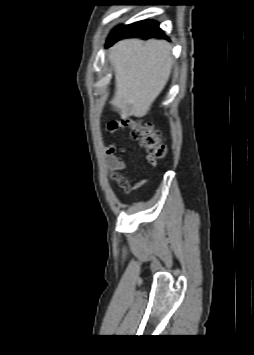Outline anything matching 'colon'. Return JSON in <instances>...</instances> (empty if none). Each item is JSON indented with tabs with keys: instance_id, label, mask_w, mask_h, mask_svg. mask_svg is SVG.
Masks as SVG:
<instances>
[{
	"instance_id": "obj_1",
	"label": "colon",
	"mask_w": 254,
	"mask_h": 355,
	"mask_svg": "<svg viewBox=\"0 0 254 355\" xmlns=\"http://www.w3.org/2000/svg\"><path fill=\"white\" fill-rule=\"evenodd\" d=\"M114 123H109L111 127ZM121 124L129 128L133 140L147 152L149 158H164L167 154V147L160 137V132L150 124H142L135 120H122Z\"/></svg>"
}]
</instances>
